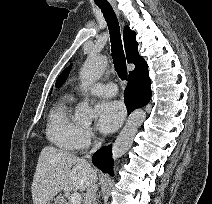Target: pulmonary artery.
Returning a JSON list of instances; mask_svg holds the SVG:
<instances>
[{
  "label": "pulmonary artery",
  "mask_w": 212,
  "mask_h": 204,
  "mask_svg": "<svg viewBox=\"0 0 212 204\" xmlns=\"http://www.w3.org/2000/svg\"><path fill=\"white\" fill-rule=\"evenodd\" d=\"M89 93L96 96L111 97L117 94V87L114 83H96L89 88Z\"/></svg>",
  "instance_id": "e3ab8cb5"
}]
</instances>
